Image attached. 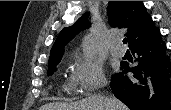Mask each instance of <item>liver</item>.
<instances>
[{"label":"liver","instance_id":"6515ba94","mask_svg":"<svg viewBox=\"0 0 171 110\" xmlns=\"http://www.w3.org/2000/svg\"><path fill=\"white\" fill-rule=\"evenodd\" d=\"M40 110H128V108L114 96L103 94L92 95L75 103H48Z\"/></svg>","mask_w":171,"mask_h":110}]
</instances>
